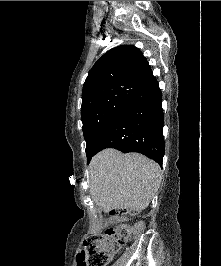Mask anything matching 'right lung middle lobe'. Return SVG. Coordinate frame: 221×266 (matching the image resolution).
I'll return each instance as SVG.
<instances>
[{"label":"right lung middle lobe","instance_id":"1","mask_svg":"<svg viewBox=\"0 0 221 266\" xmlns=\"http://www.w3.org/2000/svg\"><path fill=\"white\" fill-rule=\"evenodd\" d=\"M139 88L135 85L102 88L82 98L81 119L87 159Z\"/></svg>","mask_w":221,"mask_h":266}]
</instances>
